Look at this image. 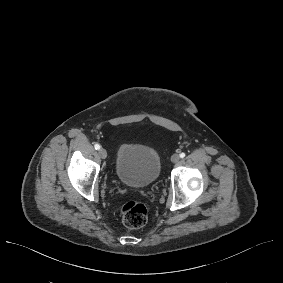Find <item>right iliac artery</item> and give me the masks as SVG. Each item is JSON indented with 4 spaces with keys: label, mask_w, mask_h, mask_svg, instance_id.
Returning a JSON list of instances; mask_svg holds the SVG:
<instances>
[{
    "label": "right iliac artery",
    "mask_w": 283,
    "mask_h": 283,
    "mask_svg": "<svg viewBox=\"0 0 283 283\" xmlns=\"http://www.w3.org/2000/svg\"><path fill=\"white\" fill-rule=\"evenodd\" d=\"M94 147H95L96 150L100 149V145L99 144H95Z\"/></svg>",
    "instance_id": "82829eb1"
}]
</instances>
